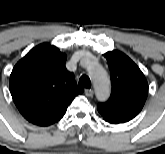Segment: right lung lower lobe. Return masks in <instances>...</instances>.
I'll list each match as a JSON object with an SVG mask.
<instances>
[{"label":"right lung lower lobe","instance_id":"98d812e1","mask_svg":"<svg viewBox=\"0 0 165 154\" xmlns=\"http://www.w3.org/2000/svg\"><path fill=\"white\" fill-rule=\"evenodd\" d=\"M71 102L72 101L65 102L64 104L60 105L59 107L52 109L48 112H45L43 114H40L38 116H35L28 121H30L33 124L39 125V126L51 125V124L57 122L58 120H60L64 116V114L67 110V107L69 106V104Z\"/></svg>","mask_w":165,"mask_h":154}]
</instances>
